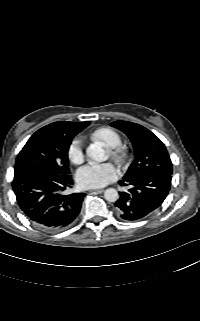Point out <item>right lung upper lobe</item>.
<instances>
[{"mask_svg":"<svg viewBox=\"0 0 200 321\" xmlns=\"http://www.w3.org/2000/svg\"><path fill=\"white\" fill-rule=\"evenodd\" d=\"M90 124V122H66V121H60V122H54L52 124L47 125L48 128L51 129V131L54 134H57L59 136H68L72 132L76 131L80 127H87Z\"/></svg>","mask_w":200,"mask_h":321,"instance_id":"right-lung-upper-lobe-1","label":"right lung upper lobe"}]
</instances>
